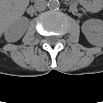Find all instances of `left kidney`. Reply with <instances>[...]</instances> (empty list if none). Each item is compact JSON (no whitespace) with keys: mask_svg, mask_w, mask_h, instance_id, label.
I'll use <instances>...</instances> for the list:
<instances>
[{"mask_svg":"<svg viewBox=\"0 0 103 103\" xmlns=\"http://www.w3.org/2000/svg\"><path fill=\"white\" fill-rule=\"evenodd\" d=\"M87 41L94 46L103 44V21L100 19L86 20L81 27Z\"/></svg>","mask_w":103,"mask_h":103,"instance_id":"5707ae66","label":"left kidney"}]
</instances>
